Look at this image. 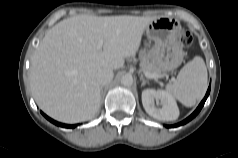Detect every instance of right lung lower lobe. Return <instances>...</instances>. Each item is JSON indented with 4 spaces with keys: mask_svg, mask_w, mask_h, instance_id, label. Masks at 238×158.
I'll use <instances>...</instances> for the list:
<instances>
[{
    "mask_svg": "<svg viewBox=\"0 0 238 158\" xmlns=\"http://www.w3.org/2000/svg\"><path fill=\"white\" fill-rule=\"evenodd\" d=\"M43 114V116L48 119L50 122L54 123L57 126H61V127H65V128H74L76 127V125H67V124H62L59 122L54 121L53 119L49 118L48 116H46L43 112H41Z\"/></svg>",
    "mask_w": 238,
    "mask_h": 158,
    "instance_id": "obj_1",
    "label": "right lung lower lobe"
}]
</instances>
